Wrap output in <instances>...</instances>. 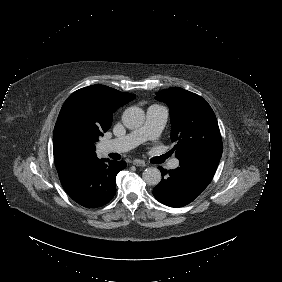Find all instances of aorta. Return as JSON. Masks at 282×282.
Here are the masks:
<instances>
[{
  "mask_svg": "<svg viewBox=\"0 0 282 282\" xmlns=\"http://www.w3.org/2000/svg\"><path fill=\"white\" fill-rule=\"evenodd\" d=\"M123 124L129 129L139 128L145 121V112L142 108L131 106L122 115ZM142 178L147 185L155 186L161 181V172L156 167L146 168Z\"/></svg>",
  "mask_w": 282,
  "mask_h": 282,
  "instance_id": "1",
  "label": "aorta"
}]
</instances>
